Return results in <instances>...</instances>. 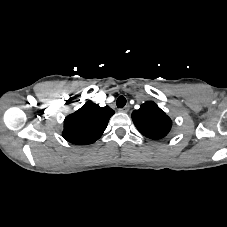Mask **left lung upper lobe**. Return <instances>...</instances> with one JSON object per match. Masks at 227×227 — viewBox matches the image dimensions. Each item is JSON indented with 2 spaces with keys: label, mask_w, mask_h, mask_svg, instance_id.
I'll use <instances>...</instances> for the list:
<instances>
[{
  "label": "left lung upper lobe",
  "mask_w": 227,
  "mask_h": 227,
  "mask_svg": "<svg viewBox=\"0 0 227 227\" xmlns=\"http://www.w3.org/2000/svg\"><path fill=\"white\" fill-rule=\"evenodd\" d=\"M132 120L141 134L154 140L164 138L172 126L169 116L153 101H147L134 110Z\"/></svg>",
  "instance_id": "1"
}]
</instances>
